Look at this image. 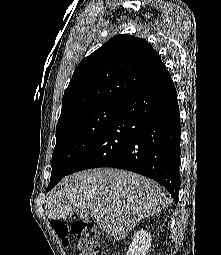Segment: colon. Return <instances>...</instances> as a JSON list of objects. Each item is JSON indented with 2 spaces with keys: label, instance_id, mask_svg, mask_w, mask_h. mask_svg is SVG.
<instances>
[{
  "label": "colon",
  "instance_id": "5ec220e1",
  "mask_svg": "<svg viewBox=\"0 0 221 255\" xmlns=\"http://www.w3.org/2000/svg\"><path fill=\"white\" fill-rule=\"evenodd\" d=\"M52 226L65 248L71 246L70 234H72L79 241L80 255H105L100 245L98 227L93 221L76 219L68 225L61 219H53Z\"/></svg>",
  "mask_w": 221,
  "mask_h": 255
}]
</instances>
